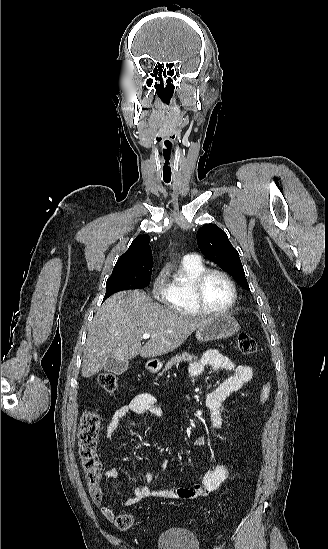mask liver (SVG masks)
<instances>
[{
    "label": "liver",
    "instance_id": "obj_1",
    "mask_svg": "<svg viewBox=\"0 0 328 549\" xmlns=\"http://www.w3.org/2000/svg\"><path fill=\"white\" fill-rule=\"evenodd\" d=\"M206 323L204 317L165 309L139 289L120 291L99 307L89 327L82 377L97 375L107 359L128 361L137 355L150 359L171 353ZM142 335L156 337L142 347Z\"/></svg>",
    "mask_w": 328,
    "mask_h": 549
}]
</instances>
